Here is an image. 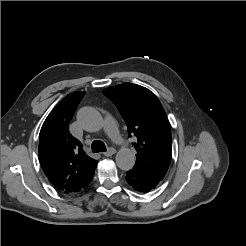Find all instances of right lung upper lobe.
Returning <instances> with one entry per match:
<instances>
[{"mask_svg":"<svg viewBox=\"0 0 246 246\" xmlns=\"http://www.w3.org/2000/svg\"><path fill=\"white\" fill-rule=\"evenodd\" d=\"M85 92L65 96L44 121L39 135V160L43 172L63 193H76L92 180L97 161L84 152L68 129Z\"/></svg>","mask_w":246,"mask_h":246,"instance_id":"right-lung-upper-lobe-1","label":"right lung upper lobe"}]
</instances>
